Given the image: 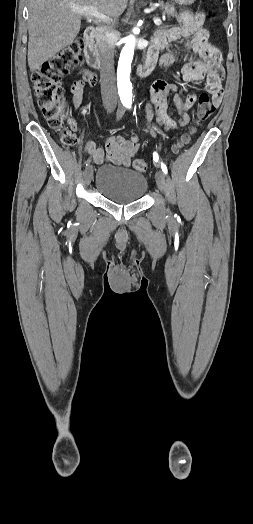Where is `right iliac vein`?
Returning a JSON list of instances; mask_svg holds the SVG:
<instances>
[{"label":"right iliac vein","mask_w":253,"mask_h":524,"mask_svg":"<svg viewBox=\"0 0 253 524\" xmlns=\"http://www.w3.org/2000/svg\"><path fill=\"white\" fill-rule=\"evenodd\" d=\"M93 176L92 166H88L84 171V185L87 187L90 185Z\"/></svg>","instance_id":"right-iliac-vein-1"}]
</instances>
